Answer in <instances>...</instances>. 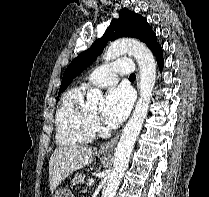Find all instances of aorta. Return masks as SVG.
<instances>
[{"label": "aorta", "mask_w": 209, "mask_h": 197, "mask_svg": "<svg viewBox=\"0 0 209 197\" xmlns=\"http://www.w3.org/2000/svg\"><path fill=\"white\" fill-rule=\"evenodd\" d=\"M128 53L140 69V98L133 115L123 129L114 154V169L102 197H115L121 179L128 167L130 155L148 113L152 91L156 81V63L152 52L145 44L134 39H122L109 45L103 55L106 61ZM103 99L101 90L91 88L87 93L86 107L94 108Z\"/></svg>", "instance_id": "aorta-1"}]
</instances>
